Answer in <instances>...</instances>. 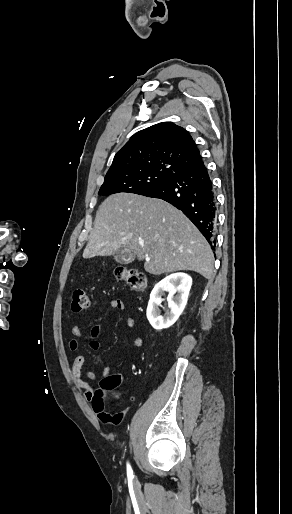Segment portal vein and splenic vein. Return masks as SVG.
<instances>
[{
	"instance_id": "1",
	"label": "portal vein and splenic vein",
	"mask_w": 292,
	"mask_h": 514,
	"mask_svg": "<svg viewBox=\"0 0 292 514\" xmlns=\"http://www.w3.org/2000/svg\"><path fill=\"white\" fill-rule=\"evenodd\" d=\"M130 238H131V236H130ZM141 246H143L142 242H141ZM147 262H148V258H147Z\"/></svg>"
}]
</instances>
